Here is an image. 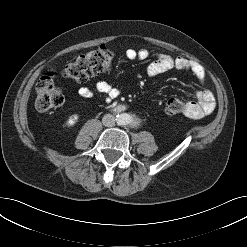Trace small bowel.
Returning a JSON list of instances; mask_svg holds the SVG:
<instances>
[{"label":"small bowel","mask_w":247,"mask_h":247,"mask_svg":"<svg viewBox=\"0 0 247 247\" xmlns=\"http://www.w3.org/2000/svg\"><path fill=\"white\" fill-rule=\"evenodd\" d=\"M125 55L129 60L142 61L148 59L152 53L147 49H129ZM155 57V60L147 66L146 71L149 76H156L165 71L177 69L191 72L201 85L204 84L206 73L199 63L184 57H174L171 54L163 52L157 53ZM95 89L98 93L104 94L111 99L116 98L119 94L117 88L105 81L98 82ZM79 95L84 99H91L94 93L91 89L84 87L79 90ZM195 95L196 100H191L187 103V110L184 112V115L189 118L199 119L214 110L215 100L213 93L205 88L197 89Z\"/></svg>","instance_id":"c3829d8e"}]
</instances>
